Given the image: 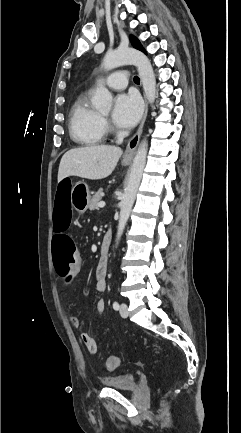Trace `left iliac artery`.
<instances>
[{
	"instance_id": "1",
	"label": "left iliac artery",
	"mask_w": 241,
	"mask_h": 433,
	"mask_svg": "<svg viewBox=\"0 0 241 433\" xmlns=\"http://www.w3.org/2000/svg\"><path fill=\"white\" fill-rule=\"evenodd\" d=\"M113 308H114V310H118L119 309L118 302H116V301L113 302Z\"/></svg>"
}]
</instances>
